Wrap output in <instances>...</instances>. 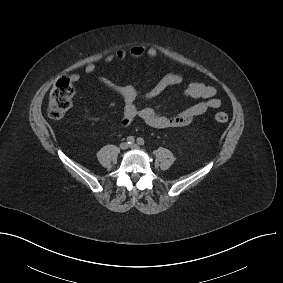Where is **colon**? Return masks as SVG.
Segmentation results:
<instances>
[{"label":"colon","mask_w":283,"mask_h":283,"mask_svg":"<svg viewBox=\"0 0 283 283\" xmlns=\"http://www.w3.org/2000/svg\"><path fill=\"white\" fill-rule=\"evenodd\" d=\"M75 89L68 78H60L51 88L47 106V113L54 120L61 119L70 109ZM215 119L219 123H226L229 116L225 112H217Z\"/></svg>","instance_id":"5ec220e1"}]
</instances>
